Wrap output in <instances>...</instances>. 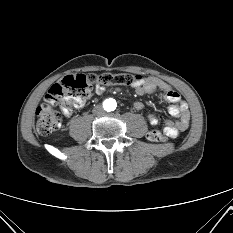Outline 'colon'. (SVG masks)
Here are the masks:
<instances>
[{
    "mask_svg": "<svg viewBox=\"0 0 233 233\" xmlns=\"http://www.w3.org/2000/svg\"><path fill=\"white\" fill-rule=\"evenodd\" d=\"M142 77L130 73H88L68 75L49 89L45 99L36 111L37 132L40 135H50L61 128L60 110L69 108L89 98L95 85L133 86ZM151 142L162 143L167 140L165 133L152 130L147 134Z\"/></svg>",
    "mask_w": 233,
    "mask_h": 233,
    "instance_id": "1",
    "label": "colon"
}]
</instances>
